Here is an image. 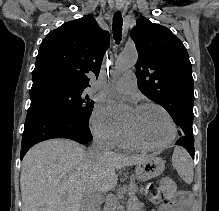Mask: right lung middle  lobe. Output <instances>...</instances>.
Wrapping results in <instances>:
<instances>
[{
    "mask_svg": "<svg viewBox=\"0 0 219 211\" xmlns=\"http://www.w3.org/2000/svg\"><path fill=\"white\" fill-rule=\"evenodd\" d=\"M83 90L62 85L49 84L38 90L30 92L31 101L37 99L50 100L60 107L67 110L76 118L82 121H89L94 102L88 97L84 96Z\"/></svg>",
    "mask_w": 219,
    "mask_h": 211,
    "instance_id": "1",
    "label": "right lung middle lobe"
}]
</instances>
